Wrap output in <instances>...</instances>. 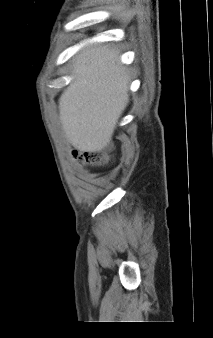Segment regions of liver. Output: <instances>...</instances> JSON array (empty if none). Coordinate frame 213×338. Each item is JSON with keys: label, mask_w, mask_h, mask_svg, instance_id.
<instances>
[{"label": "liver", "mask_w": 213, "mask_h": 338, "mask_svg": "<svg viewBox=\"0 0 213 338\" xmlns=\"http://www.w3.org/2000/svg\"><path fill=\"white\" fill-rule=\"evenodd\" d=\"M117 57L108 45L78 54L72 72L75 79L59 99L65 136L81 152L107 147L128 104L129 76Z\"/></svg>", "instance_id": "1"}]
</instances>
